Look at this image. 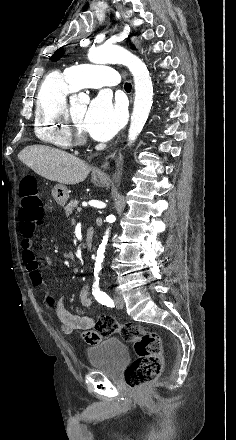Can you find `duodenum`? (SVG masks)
<instances>
[{"mask_svg":"<svg viewBox=\"0 0 236 440\" xmlns=\"http://www.w3.org/2000/svg\"><path fill=\"white\" fill-rule=\"evenodd\" d=\"M94 241V229L92 227H88L85 231V246L87 250L92 248Z\"/></svg>","mask_w":236,"mask_h":440,"instance_id":"1","label":"duodenum"}]
</instances>
